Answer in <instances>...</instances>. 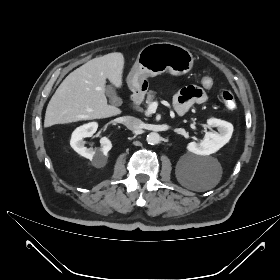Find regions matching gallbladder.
I'll return each mask as SVG.
<instances>
[{"label":"gallbladder","instance_id":"1","mask_svg":"<svg viewBox=\"0 0 280 280\" xmlns=\"http://www.w3.org/2000/svg\"><path fill=\"white\" fill-rule=\"evenodd\" d=\"M106 95L109 98V102L114 105H120L122 100L117 96L115 89L111 85H107L105 88Z\"/></svg>","mask_w":280,"mask_h":280}]
</instances>
